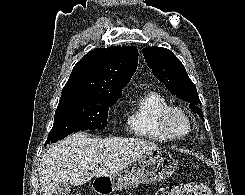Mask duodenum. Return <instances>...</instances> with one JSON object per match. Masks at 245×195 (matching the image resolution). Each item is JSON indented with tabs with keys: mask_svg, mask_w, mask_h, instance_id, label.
<instances>
[{
	"mask_svg": "<svg viewBox=\"0 0 245 195\" xmlns=\"http://www.w3.org/2000/svg\"><path fill=\"white\" fill-rule=\"evenodd\" d=\"M96 189L99 192V194L106 195L107 193L110 192L111 187L108 182H105V184L97 186Z\"/></svg>",
	"mask_w": 245,
	"mask_h": 195,
	"instance_id": "duodenum-1",
	"label": "duodenum"
}]
</instances>
